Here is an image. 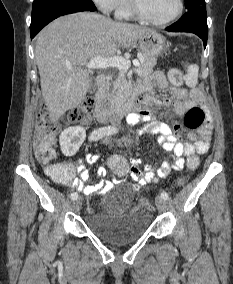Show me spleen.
I'll use <instances>...</instances> for the list:
<instances>
[{"label": "spleen", "instance_id": "spleen-1", "mask_svg": "<svg viewBox=\"0 0 233 284\" xmlns=\"http://www.w3.org/2000/svg\"><path fill=\"white\" fill-rule=\"evenodd\" d=\"M198 65H191L187 70V75L185 77V82L189 87H195L198 82Z\"/></svg>", "mask_w": 233, "mask_h": 284}]
</instances>
